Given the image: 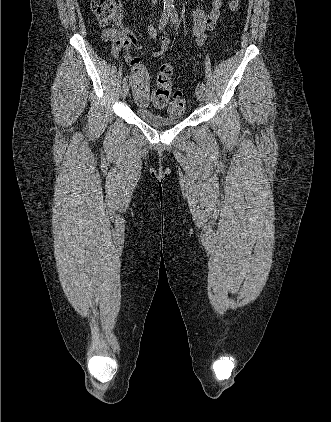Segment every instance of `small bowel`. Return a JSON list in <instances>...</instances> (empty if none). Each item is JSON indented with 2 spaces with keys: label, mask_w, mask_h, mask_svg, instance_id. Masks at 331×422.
<instances>
[{
  "label": "small bowel",
  "mask_w": 331,
  "mask_h": 422,
  "mask_svg": "<svg viewBox=\"0 0 331 422\" xmlns=\"http://www.w3.org/2000/svg\"><path fill=\"white\" fill-rule=\"evenodd\" d=\"M223 0H210V8L205 10L197 3L192 16L194 26L192 29V36L197 39V42L201 44L205 38V31L212 30L220 16ZM158 32H166L165 27L158 30L154 26L148 28V33L151 39H155ZM103 37L106 41L112 43L111 53L113 57H118L121 49L129 50L131 46H135L140 49L142 46L138 38L128 29H125L121 23V20L115 22L112 29H107L103 32ZM172 46V42L169 38L163 37L160 41V47L156 50L151 51L153 57H162L165 55L169 47ZM126 62L132 67L142 64L140 57L132 56L129 53L125 55ZM130 83L133 88L135 100L138 105L145 106L149 102L148 93V81L142 82L138 78L131 75ZM144 88L147 91V100L141 102L138 99V90Z\"/></svg>",
  "instance_id": "small-bowel-1"
}]
</instances>
